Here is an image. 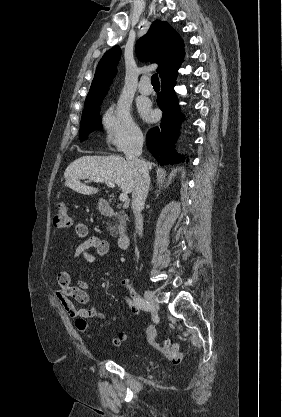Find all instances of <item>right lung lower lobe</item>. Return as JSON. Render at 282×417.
Listing matches in <instances>:
<instances>
[{
    "label": "right lung lower lobe",
    "mask_w": 282,
    "mask_h": 417,
    "mask_svg": "<svg viewBox=\"0 0 282 417\" xmlns=\"http://www.w3.org/2000/svg\"><path fill=\"white\" fill-rule=\"evenodd\" d=\"M179 66L161 78L162 90L157 98L158 106L163 112L161 123L160 126L150 129L147 133V147L161 165L184 162L185 160V156H177L174 149V143L179 135V125L183 120L173 89L176 85Z\"/></svg>",
    "instance_id": "1"
}]
</instances>
